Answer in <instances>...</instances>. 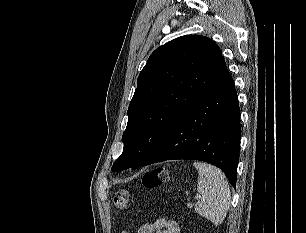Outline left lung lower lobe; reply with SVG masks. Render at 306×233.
I'll return each instance as SVG.
<instances>
[{"label": "left lung lower lobe", "mask_w": 306, "mask_h": 233, "mask_svg": "<svg viewBox=\"0 0 306 233\" xmlns=\"http://www.w3.org/2000/svg\"><path fill=\"white\" fill-rule=\"evenodd\" d=\"M240 139L237 93L225 65L142 166L172 159L201 160L222 169L235 188Z\"/></svg>", "instance_id": "0a47b994"}]
</instances>
